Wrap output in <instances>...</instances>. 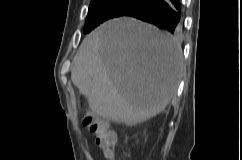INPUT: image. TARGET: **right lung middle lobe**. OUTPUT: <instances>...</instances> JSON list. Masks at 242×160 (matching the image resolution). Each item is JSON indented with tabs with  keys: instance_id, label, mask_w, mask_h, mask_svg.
<instances>
[{
	"instance_id": "dd1d6c3e",
	"label": "right lung middle lobe",
	"mask_w": 242,
	"mask_h": 160,
	"mask_svg": "<svg viewBox=\"0 0 242 160\" xmlns=\"http://www.w3.org/2000/svg\"><path fill=\"white\" fill-rule=\"evenodd\" d=\"M143 1L144 0H92L83 32L89 33L104 21L125 15Z\"/></svg>"
}]
</instances>
